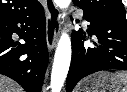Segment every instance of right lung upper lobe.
<instances>
[{
  "mask_svg": "<svg viewBox=\"0 0 127 92\" xmlns=\"http://www.w3.org/2000/svg\"><path fill=\"white\" fill-rule=\"evenodd\" d=\"M37 0H0V22L34 10Z\"/></svg>",
  "mask_w": 127,
  "mask_h": 92,
  "instance_id": "obj_1",
  "label": "right lung upper lobe"
}]
</instances>
